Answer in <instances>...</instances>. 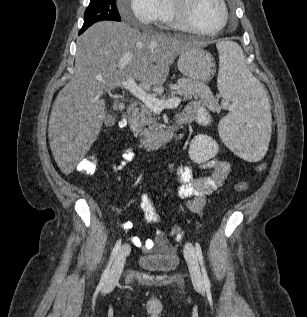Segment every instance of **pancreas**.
Instances as JSON below:
<instances>
[{"instance_id":"pancreas-1","label":"pancreas","mask_w":307,"mask_h":317,"mask_svg":"<svg viewBox=\"0 0 307 317\" xmlns=\"http://www.w3.org/2000/svg\"><path fill=\"white\" fill-rule=\"evenodd\" d=\"M174 86L178 87V89L172 90L170 96H183L184 101L191 100L192 98L202 100L211 98L208 88L199 81L182 77L177 80ZM157 92L161 94V90ZM165 99V97H162V100ZM209 106L212 111H218L220 109L217 105V101L214 99L210 101ZM131 129L135 134H140L141 141L143 142L162 140V125L157 123L154 110L147 105H142L140 111L131 118Z\"/></svg>"}]
</instances>
